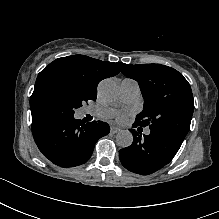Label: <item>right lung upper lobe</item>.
Wrapping results in <instances>:
<instances>
[{
	"label": "right lung upper lobe",
	"instance_id": "cb5924a9",
	"mask_svg": "<svg viewBox=\"0 0 219 219\" xmlns=\"http://www.w3.org/2000/svg\"><path fill=\"white\" fill-rule=\"evenodd\" d=\"M125 64L103 62L85 55L62 57L51 62L37 77V82L49 74H59L76 81L95 100L98 83L117 75Z\"/></svg>",
	"mask_w": 219,
	"mask_h": 219
}]
</instances>
